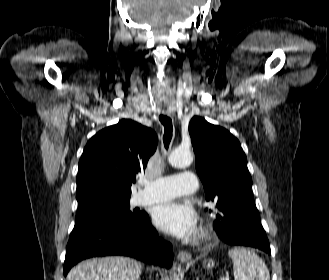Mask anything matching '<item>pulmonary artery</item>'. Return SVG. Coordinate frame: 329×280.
I'll return each mask as SVG.
<instances>
[{
    "label": "pulmonary artery",
    "instance_id": "pulmonary-artery-1",
    "mask_svg": "<svg viewBox=\"0 0 329 280\" xmlns=\"http://www.w3.org/2000/svg\"><path fill=\"white\" fill-rule=\"evenodd\" d=\"M197 186L196 175L189 171L159 177L145 184L144 189L138 193L137 203L145 205L191 195L196 191Z\"/></svg>",
    "mask_w": 329,
    "mask_h": 280
}]
</instances>
